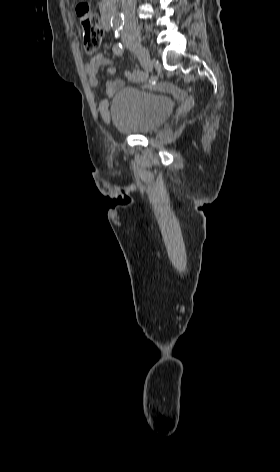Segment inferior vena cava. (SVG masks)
<instances>
[{"instance_id": "obj_1", "label": "inferior vena cava", "mask_w": 280, "mask_h": 472, "mask_svg": "<svg viewBox=\"0 0 280 472\" xmlns=\"http://www.w3.org/2000/svg\"><path fill=\"white\" fill-rule=\"evenodd\" d=\"M135 5L136 0H122V10L125 16V31L128 30L132 33L135 32Z\"/></svg>"}]
</instances>
